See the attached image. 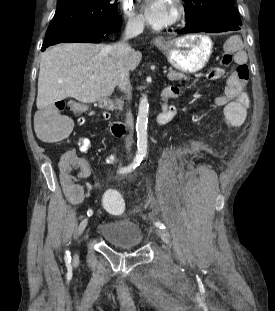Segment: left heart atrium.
<instances>
[{
	"mask_svg": "<svg viewBox=\"0 0 275 311\" xmlns=\"http://www.w3.org/2000/svg\"><path fill=\"white\" fill-rule=\"evenodd\" d=\"M141 8L145 20L155 28H163L173 22L174 7L171 0H143Z\"/></svg>",
	"mask_w": 275,
	"mask_h": 311,
	"instance_id": "left-heart-atrium-1",
	"label": "left heart atrium"
}]
</instances>
